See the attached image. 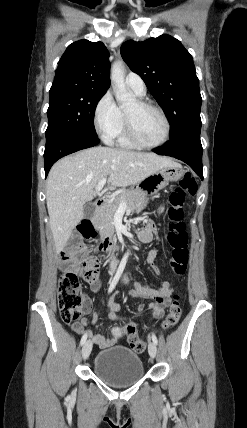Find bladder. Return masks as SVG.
I'll return each instance as SVG.
<instances>
[{"mask_svg":"<svg viewBox=\"0 0 247 428\" xmlns=\"http://www.w3.org/2000/svg\"><path fill=\"white\" fill-rule=\"evenodd\" d=\"M94 374L112 386L136 383L144 376L139 354L131 348L113 346L100 350L93 363Z\"/></svg>","mask_w":247,"mask_h":428,"instance_id":"obj_1","label":"bladder"}]
</instances>
